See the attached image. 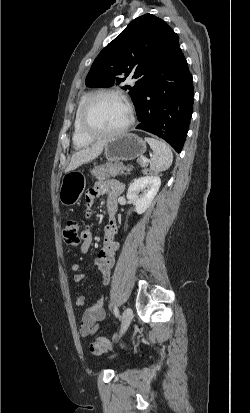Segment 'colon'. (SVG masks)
Wrapping results in <instances>:
<instances>
[{
  "mask_svg": "<svg viewBox=\"0 0 250 413\" xmlns=\"http://www.w3.org/2000/svg\"><path fill=\"white\" fill-rule=\"evenodd\" d=\"M145 175L147 177H162V174L159 173V170L157 168H147L145 170ZM63 238L68 245L76 246L79 244L80 240L82 239V231L77 221L70 220L66 223L63 229ZM110 344L111 339L106 337H99L93 340L90 346L96 349H104L109 347Z\"/></svg>",
  "mask_w": 250,
  "mask_h": 413,
  "instance_id": "obj_1",
  "label": "colon"
}]
</instances>
